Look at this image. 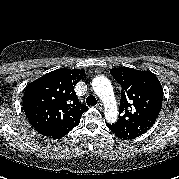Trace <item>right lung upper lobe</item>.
Returning a JSON list of instances; mask_svg holds the SVG:
<instances>
[{"instance_id": "1", "label": "right lung upper lobe", "mask_w": 179, "mask_h": 179, "mask_svg": "<svg viewBox=\"0 0 179 179\" xmlns=\"http://www.w3.org/2000/svg\"><path fill=\"white\" fill-rule=\"evenodd\" d=\"M83 75V70L60 68L26 87L23 109L39 133L58 139L80 123L88 107L78 101L74 86Z\"/></svg>"}]
</instances>
